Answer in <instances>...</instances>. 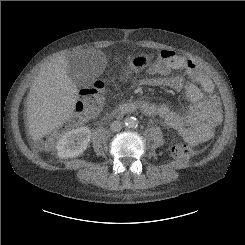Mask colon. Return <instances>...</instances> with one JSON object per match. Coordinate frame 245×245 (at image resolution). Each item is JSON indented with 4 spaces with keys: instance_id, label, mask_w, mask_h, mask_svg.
<instances>
[{
    "instance_id": "1",
    "label": "colon",
    "mask_w": 245,
    "mask_h": 245,
    "mask_svg": "<svg viewBox=\"0 0 245 245\" xmlns=\"http://www.w3.org/2000/svg\"><path fill=\"white\" fill-rule=\"evenodd\" d=\"M161 68H163V63L160 66ZM128 76L129 72L125 68H120L116 71V79L119 81L127 79ZM104 90L105 83L102 80H97L91 82L81 91V98L75 105V113L70 121V126L76 127L82 125L101 111ZM208 102L211 106H215L218 102L217 95L215 93L210 94ZM219 121V115H215L212 118L214 124H218ZM52 139V135H45L42 140L46 143ZM171 153L177 158H189L196 155L198 149L190 143H177L171 147Z\"/></svg>"
}]
</instances>
